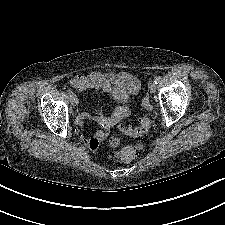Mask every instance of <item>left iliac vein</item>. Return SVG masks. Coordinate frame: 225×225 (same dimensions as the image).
<instances>
[{"label":"left iliac vein","instance_id":"1","mask_svg":"<svg viewBox=\"0 0 225 225\" xmlns=\"http://www.w3.org/2000/svg\"><path fill=\"white\" fill-rule=\"evenodd\" d=\"M149 90H150L151 93H155L156 92V84L154 82L150 83Z\"/></svg>","mask_w":225,"mask_h":225}]
</instances>
